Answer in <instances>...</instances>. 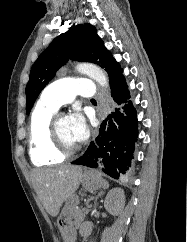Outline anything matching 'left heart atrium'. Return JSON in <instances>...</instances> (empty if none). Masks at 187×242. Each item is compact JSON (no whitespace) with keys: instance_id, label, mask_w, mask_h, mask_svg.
Segmentation results:
<instances>
[{"instance_id":"left-heart-atrium-1","label":"left heart atrium","mask_w":187,"mask_h":242,"mask_svg":"<svg viewBox=\"0 0 187 242\" xmlns=\"http://www.w3.org/2000/svg\"><path fill=\"white\" fill-rule=\"evenodd\" d=\"M67 121L72 139L76 143L84 141L88 135V128L83 115L75 111L68 116Z\"/></svg>"}]
</instances>
